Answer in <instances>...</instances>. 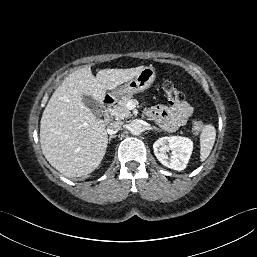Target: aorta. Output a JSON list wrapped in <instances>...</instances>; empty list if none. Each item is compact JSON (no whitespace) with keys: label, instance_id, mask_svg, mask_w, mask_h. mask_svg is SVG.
<instances>
[{"label":"aorta","instance_id":"obj_1","mask_svg":"<svg viewBox=\"0 0 257 257\" xmlns=\"http://www.w3.org/2000/svg\"><path fill=\"white\" fill-rule=\"evenodd\" d=\"M131 134L139 135L142 132V125L138 120H133L128 126Z\"/></svg>","mask_w":257,"mask_h":257}]
</instances>
